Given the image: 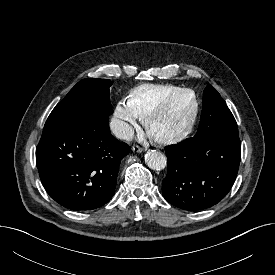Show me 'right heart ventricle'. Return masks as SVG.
Returning <instances> with one entry per match:
<instances>
[{"label":"right heart ventricle","mask_w":275,"mask_h":275,"mask_svg":"<svg viewBox=\"0 0 275 275\" xmlns=\"http://www.w3.org/2000/svg\"><path fill=\"white\" fill-rule=\"evenodd\" d=\"M179 88L173 84H141L129 92L127 103L139 118H144L165 96Z\"/></svg>","instance_id":"right-heart-ventricle-1"}]
</instances>
